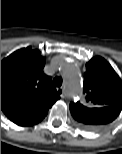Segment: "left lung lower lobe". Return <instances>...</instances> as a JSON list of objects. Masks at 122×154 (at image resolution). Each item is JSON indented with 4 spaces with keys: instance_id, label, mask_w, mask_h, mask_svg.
Wrapping results in <instances>:
<instances>
[{
    "instance_id": "0a47b994",
    "label": "left lung lower lobe",
    "mask_w": 122,
    "mask_h": 154,
    "mask_svg": "<svg viewBox=\"0 0 122 154\" xmlns=\"http://www.w3.org/2000/svg\"><path fill=\"white\" fill-rule=\"evenodd\" d=\"M97 110L89 112L91 117H82V120L86 121L87 124H80V126L86 130H97L102 128L104 125L112 122L120 113L121 109L118 107H104L99 109H88Z\"/></svg>"
}]
</instances>
